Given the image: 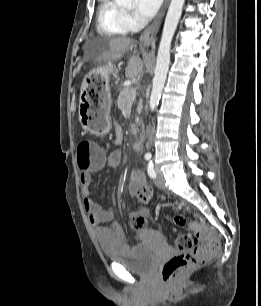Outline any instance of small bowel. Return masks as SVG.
I'll return each instance as SVG.
<instances>
[{
	"label": "small bowel",
	"mask_w": 261,
	"mask_h": 306,
	"mask_svg": "<svg viewBox=\"0 0 261 306\" xmlns=\"http://www.w3.org/2000/svg\"><path fill=\"white\" fill-rule=\"evenodd\" d=\"M121 129L116 126V136L114 140L113 151L104 158V160L94 167L83 170L80 173V187L83 199V205L87 212L90 224L93 227L95 237L100 244L101 248L106 252L127 254L130 247L125 241V234L123 228L112 222L114 212L111 208L102 207L95 199V193L91 189V173L102 170L104 168H116L120 165L122 159L121 150ZM145 176L140 170H133L130 173L129 181V194L133 198H138V192L141 188L145 187ZM148 208H141L134 211L131 217L137 214L147 215ZM105 223H110L105 226Z\"/></svg>",
	"instance_id": "small-bowel-1"
}]
</instances>
